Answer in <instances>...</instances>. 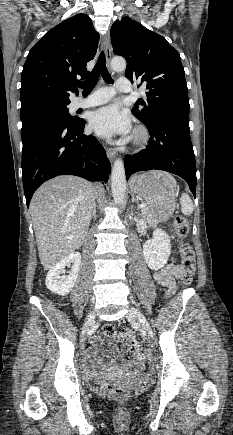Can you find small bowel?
Returning <instances> with one entry per match:
<instances>
[{"label": "small bowel", "instance_id": "1", "mask_svg": "<svg viewBox=\"0 0 233 435\" xmlns=\"http://www.w3.org/2000/svg\"><path fill=\"white\" fill-rule=\"evenodd\" d=\"M186 273L183 267L176 266L172 263H167L161 270L154 274L155 281L166 289V297H170L175 291V277L180 278ZM105 347V348H103ZM131 353L132 359L125 361L121 359V354L118 348L111 342L109 338H100L95 341L88 353L84 356V362L88 365V372L96 374L100 372H130L133 374H141L145 370V363L140 354L131 351L127 345L123 347ZM113 356L120 361H112L108 366L102 363L105 357Z\"/></svg>", "mask_w": 233, "mask_h": 435}]
</instances>
